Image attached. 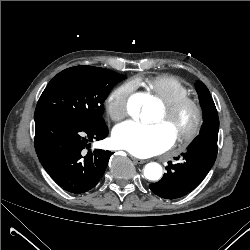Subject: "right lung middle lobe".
<instances>
[{"instance_id":"1","label":"right lung middle lobe","mask_w":250,"mask_h":250,"mask_svg":"<svg viewBox=\"0 0 250 250\" xmlns=\"http://www.w3.org/2000/svg\"><path fill=\"white\" fill-rule=\"evenodd\" d=\"M126 76L92 66H76L58 73L43 91L34 118L49 117L104 125L103 103Z\"/></svg>"}]
</instances>
